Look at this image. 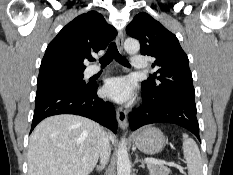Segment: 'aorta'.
Here are the masks:
<instances>
[{
	"label": "aorta",
	"mask_w": 233,
	"mask_h": 175,
	"mask_svg": "<svg viewBox=\"0 0 233 175\" xmlns=\"http://www.w3.org/2000/svg\"><path fill=\"white\" fill-rule=\"evenodd\" d=\"M124 49L128 54H136L140 50V44L137 40L128 38L124 42ZM131 164L127 152L125 138H122L117 151V174L130 175Z\"/></svg>",
	"instance_id": "762f6f07"
}]
</instances>
